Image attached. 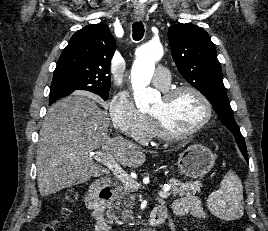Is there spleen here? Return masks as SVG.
<instances>
[{"label": "spleen", "instance_id": "obj_1", "mask_svg": "<svg viewBox=\"0 0 268 231\" xmlns=\"http://www.w3.org/2000/svg\"><path fill=\"white\" fill-rule=\"evenodd\" d=\"M207 206L213 215L224 220L243 216V186L235 172L229 171L224 176L220 188L208 197Z\"/></svg>", "mask_w": 268, "mask_h": 231}]
</instances>
